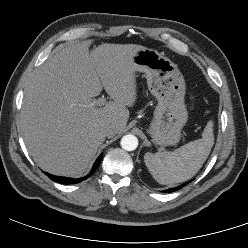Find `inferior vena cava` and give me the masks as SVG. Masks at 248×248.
Listing matches in <instances>:
<instances>
[{"mask_svg":"<svg viewBox=\"0 0 248 248\" xmlns=\"http://www.w3.org/2000/svg\"><path fill=\"white\" fill-rule=\"evenodd\" d=\"M103 130H104L105 136L108 138H112L118 132L117 127L115 125H112V124L105 126Z\"/></svg>","mask_w":248,"mask_h":248,"instance_id":"obj_1","label":"inferior vena cava"}]
</instances>
